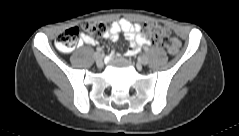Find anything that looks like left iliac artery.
Segmentation results:
<instances>
[{"label": "left iliac artery", "instance_id": "left-iliac-artery-1", "mask_svg": "<svg viewBox=\"0 0 239 136\" xmlns=\"http://www.w3.org/2000/svg\"><path fill=\"white\" fill-rule=\"evenodd\" d=\"M150 48L149 47H146V48H143V51L145 52L146 50L148 51Z\"/></svg>", "mask_w": 239, "mask_h": 136}]
</instances>
